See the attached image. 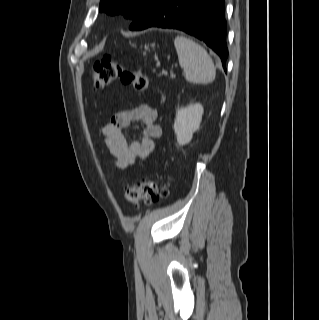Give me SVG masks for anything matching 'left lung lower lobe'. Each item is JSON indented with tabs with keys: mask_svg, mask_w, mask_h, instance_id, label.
I'll list each match as a JSON object with an SVG mask.
<instances>
[{
	"mask_svg": "<svg viewBox=\"0 0 319 320\" xmlns=\"http://www.w3.org/2000/svg\"><path fill=\"white\" fill-rule=\"evenodd\" d=\"M224 0H158L130 25V30L149 27L184 31L206 43L221 59L226 71V21Z\"/></svg>",
	"mask_w": 319,
	"mask_h": 320,
	"instance_id": "1",
	"label": "left lung lower lobe"
}]
</instances>
